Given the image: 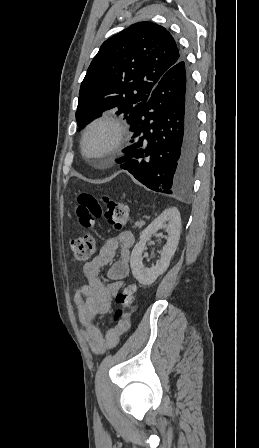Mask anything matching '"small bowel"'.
Instances as JSON below:
<instances>
[{"instance_id": "small-bowel-1", "label": "small bowel", "mask_w": 259, "mask_h": 448, "mask_svg": "<svg viewBox=\"0 0 259 448\" xmlns=\"http://www.w3.org/2000/svg\"><path fill=\"white\" fill-rule=\"evenodd\" d=\"M134 241L131 232H121L117 236L107 239L98 254L83 266L82 275L86 284L76 291L74 301L80 322L85 329L83 336L88 342L90 350L96 355H102L114 348L120 337L130 328V319L127 316L103 334L95 324V319L98 315L110 311L112 298L119 293L123 286L124 279L129 273L131 248ZM117 252L119 257L114 260ZM108 264H111L107 273L110 282L105 284L99 278V274L101 269Z\"/></svg>"}]
</instances>
